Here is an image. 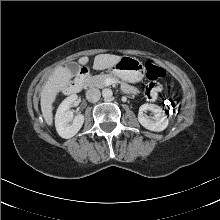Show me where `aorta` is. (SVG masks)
Instances as JSON below:
<instances>
[{"label":"aorta","instance_id":"1","mask_svg":"<svg viewBox=\"0 0 220 220\" xmlns=\"http://www.w3.org/2000/svg\"><path fill=\"white\" fill-rule=\"evenodd\" d=\"M112 95H113V92H112V90L109 89V88H106V89H104V90L102 91V96H103L105 99L111 98Z\"/></svg>","mask_w":220,"mask_h":220}]
</instances>
